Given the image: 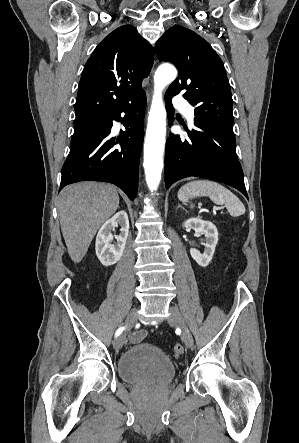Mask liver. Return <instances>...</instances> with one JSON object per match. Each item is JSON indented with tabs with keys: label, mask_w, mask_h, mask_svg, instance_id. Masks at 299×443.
Wrapping results in <instances>:
<instances>
[{
	"label": "liver",
	"mask_w": 299,
	"mask_h": 443,
	"mask_svg": "<svg viewBox=\"0 0 299 443\" xmlns=\"http://www.w3.org/2000/svg\"><path fill=\"white\" fill-rule=\"evenodd\" d=\"M119 207V196L108 184L81 182L59 195L58 215L68 254L74 263L85 256L100 226Z\"/></svg>",
	"instance_id": "6515ba94"
}]
</instances>
